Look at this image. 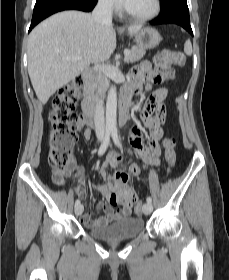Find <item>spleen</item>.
<instances>
[{"mask_svg":"<svg viewBox=\"0 0 229 280\" xmlns=\"http://www.w3.org/2000/svg\"><path fill=\"white\" fill-rule=\"evenodd\" d=\"M184 51L187 55H191L192 53V44L190 40H187L184 44Z\"/></svg>","mask_w":229,"mask_h":280,"instance_id":"spleen-1","label":"spleen"}]
</instances>
